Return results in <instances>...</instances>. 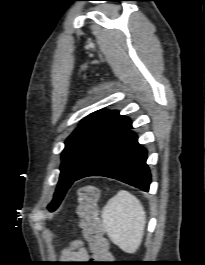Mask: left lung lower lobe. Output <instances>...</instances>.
<instances>
[{
    "label": "left lung lower lobe",
    "instance_id": "0a47b994",
    "mask_svg": "<svg viewBox=\"0 0 205 265\" xmlns=\"http://www.w3.org/2000/svg\"><path fill=\"white\" fill-rule=\"evenodd\" d=\"M130 128L131 122L82 169L74 181L87 176H105L149 191L151 174L146 164L147 151Z\"/></svg>",
    "mask_w": 205,
    "mask_h": 265
}]
</instances>
